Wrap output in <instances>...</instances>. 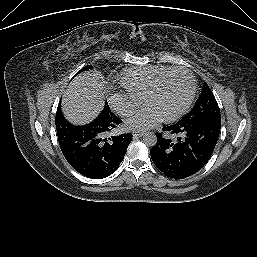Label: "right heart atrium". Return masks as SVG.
<instances>
[{"mask_svg":"<svg viewBox=\"0 0 257 257\" xmlns=\"http://www.w3.org/2000/svg\"><path fill=\"white\" fill-rule=\"evenodd\" d=\"M109 104L119 115L129 116L140 104V98L125 90L109 97Z\"/></svg>","mask_w":257,"mask_h":257,"instance_id":"right-heart-atrium-1","label":"right heart atrium"}]
</instances>
